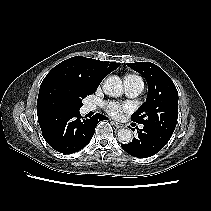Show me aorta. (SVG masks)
I'll list each match as a JSON object with an SVG mask.
<instances>
[{
	"instance_id": "1",
	"label": "aorta",
	"mask_w": 211,
	"mask_h": 211,
	"mask_svg": "<svg viewBox=\"0 0 211 211\" xmlns=\"http://www.w3.org/2000/svg\"><path fill=\"white\" fill-rule=\"evenodd\" d=\"M103 90L110 97L121 96L123 94L122 80L116 75L108 77L103 83ZM117 136L118 141L123 144H128L133 139V133L130 129H120Z\"/></svg>"
}]
</instances>
